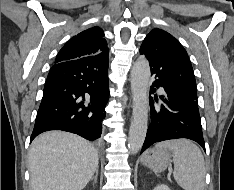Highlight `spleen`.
<instances>
[{
    "instance_id": "spleen-1",
    "label": "spleen",
    "mask_w": 234,
    "mask_h": 190,
    "mask_svg": "<svg viewBox=\"0 0 234 190\" xmlns=\"http://www.w3.org/2000/svg\"><path fill=\"white\" fill-rule=\"evenodd\" d=\"M157 149L174 152V178L184 190H204L205 162L201 150L192 141L175 139L160 142Z\"/></svg>"
}]
</instances>
